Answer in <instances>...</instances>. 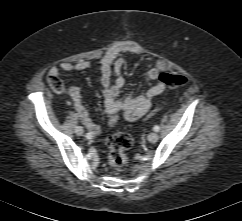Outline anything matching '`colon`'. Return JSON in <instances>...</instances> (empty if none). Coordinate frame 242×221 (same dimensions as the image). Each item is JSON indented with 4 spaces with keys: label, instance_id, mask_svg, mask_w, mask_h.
Masks as SVG:
<instances>
[{
    "label": "colon",
    "instance_id": "colon-1",
    "mask_svg": "<svg viewBox=\"0 0 242 221\" xmlns=\"http://www.w3.org/2000/svg\"><path fill=\"white\" fill-rule=\"evenodd\" d=\"M159 80L162 84L169 88H178L187 84L188 78L182 74H172L163 72L159 75ZM50 87L56 93H61L64 90V84L59 76L50 75L48 78ZM118 119L117 115L110 118V123L114 124ZM133 137L125 132H116L109 136L107 140L108 162L112 169L120 171L128 163L126 151L133 145Z\"/></svg>",
    "mask_w": 242,
    "mask_h": 221
}]
</instances>
